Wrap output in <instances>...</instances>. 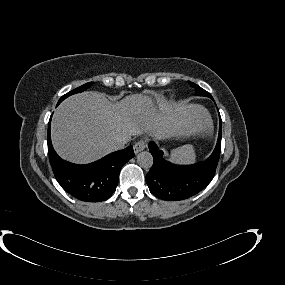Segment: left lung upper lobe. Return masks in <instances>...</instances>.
Segmentation results:
<instances>
[{
    "instance_id": "1",
    "label": "left lung upper lobe",
    "mask_w": 285,
    "mask_h": 285,
    "mask_svg": "<svg viewBox=\"0 0 285 285\" xmlns=\"http://www.w3.org/2000/svg\"><path fill=\"white\" fill-rule=\"evenodd\" d=\"M190 86H192L194 89H195V95H198V96H207V97H210L212 98V96L210 95L209 92H207L206 90L202 89L201 87H199L198 85L192 83V82H189Z\"/></svg>"
}]
</instances>
